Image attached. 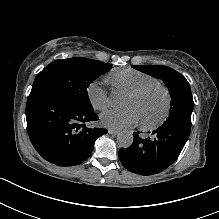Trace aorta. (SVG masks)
I'll list each match as a JSON object with an SVG mask.
<instances>
[{"instance_id": "1", "label": "aorta", "mask_w": 219, "mask_h": 219, "mask_svg": "<svg viewBox=\"0 0 219 219\" xmlns=\"http://www.w3.org/2000/svg\"><path fill=\"white\" fill-rule=\"evenodd\" d=\"M110 102L113 107H119L122 105L123 99L119 94H112ZM117 143L122 148H128L133 143V134L128 130H123L117 135Z\"/></svg>"}]
</instances>
